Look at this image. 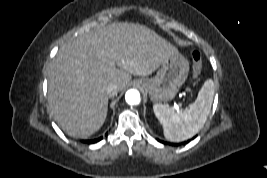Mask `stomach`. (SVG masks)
Returning <instances> with one entry per match:
<instances>
[{
    "mask_svg": "<svg viewBox=\"0 0 267 178\" xmlns=\"http://www.w3.org/2000/svg\"><path fill=\"white\" fill-rule=\"evenodd\" d=\"M188 72V60L177 52L162 62L154 77L140 78L135 83L149 95L153 102H167L175 97L187 79Z\"/></svg>",
    "mask_w": 267,
    "mask_h": 178,
    "instance_id": "stomach-1",
    "label": "stomach"
}]
</instances>
